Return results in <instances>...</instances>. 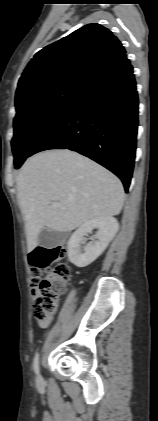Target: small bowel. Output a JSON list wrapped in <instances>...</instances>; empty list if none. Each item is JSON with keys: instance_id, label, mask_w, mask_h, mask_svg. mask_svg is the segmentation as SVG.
<instances>
[{"instance_id": "small-bowel-1", "label": "small bowel", "mask_w": 158, "mask_h": 421, "mask_svg": "<svg viewBox=\"0 0 158 421\" xmlns=\"http://www.w3.org/2000/svg\"><path fill=\"white\" fill-rule=\"evenodd\" d=\"M51 320H52V317L47 318L45 320H38V325L41 328H46L50 324Z\"/></svg>"}]
</instances>
